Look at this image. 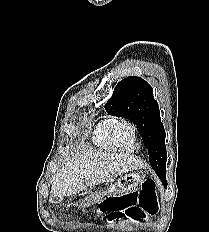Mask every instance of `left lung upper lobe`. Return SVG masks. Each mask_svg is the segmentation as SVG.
I'll return each instance as SVG.
<instances>
[{"mask_svg":"<svg viewBox=\"0 0 209 232\" xmlns=\"http://www.w3.org/2000/svg\"><path fill=\"white\" fill-rule=\"evenodd\" d=\"M105 109L109 115L129 119L138 126L140 136L148 148L150 165L165 182L166 134L152 87L140 77H127L116 85Z\"/></svg>","mask_w":209,"mask_h":232,"instance_id":"5c2ea615","label":"left lung upper lobe"}]
</instances>
